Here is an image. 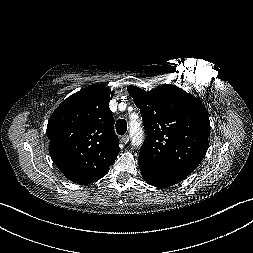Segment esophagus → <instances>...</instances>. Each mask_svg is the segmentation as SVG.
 <instances>
[{
    "instance_id": "esophagus-1",
    "label": "esophagus",
    "mask_w": 253,
    "mask_h": 253,
    "mask_svg": "<svg viewBox=\"0 0 253 253\" xmlns=\"http://www.w3.org/2000/svg\"><path fill=\"white\" fill-rule=\"evenodd\" d=\"M121 142L124 143V144H127L129 142V136L128 135H124L121 138Z\"/></svg>"
}]
</instances>
